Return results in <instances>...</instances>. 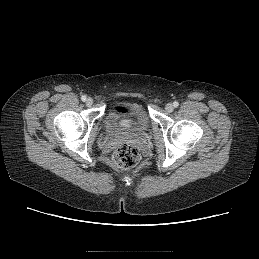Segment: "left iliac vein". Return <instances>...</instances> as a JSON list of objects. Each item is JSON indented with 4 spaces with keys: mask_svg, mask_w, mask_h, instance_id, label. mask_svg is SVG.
<instances>
[{
    "mask_svg": "<svg viewBox=\"0 0 259 259\" xmlns=\"http://www.w3.org/2000/svg\"><path fill=\"white\" fill-rule=\"evenodd\" d=\"M165 110L167 112H172L174 110V106L171 103L165 105Z\"/></svg>",
    "mask_w": 259,
    "mask_h": 259,
    "instance_id": "4c4485c4",
    "label": "left iliac vein"
}]
</instances>
